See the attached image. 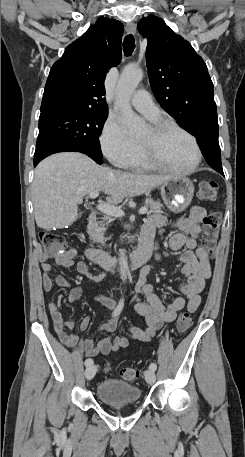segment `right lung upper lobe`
I'll list each match as a JSON object with an SVG mask.
<instances>
[{
	"label": "right lung upper lobe",
	"mask_w": 245,
	"mask_h": 457,
	"mask_svg": "<svg viewBox=\"0 0 245 457\" xmlns=\"http://www.w3.org/2000/svg\"><path fill=\"white\" fill-rule=\"evenodd\" d=\"M123 24L100 17L79 39L70 44L52 66L45 85L41 112L62 107L108 110L104 80L121 60Z\"/></svg>",
	"instance_id": "1"
}]
</instances>
